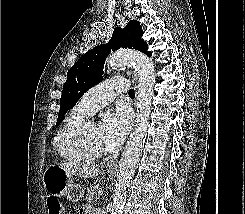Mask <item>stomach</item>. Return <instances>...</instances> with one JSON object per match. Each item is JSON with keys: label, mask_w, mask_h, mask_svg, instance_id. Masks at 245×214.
Here are the masks:
<instances>
[{"label": "stomach", "mask_w": 245, "mask_h": 214, "mask_svg": "<svg viewBox=\"0 0 245 214\" xmlns=\"http://www.w3.org/2000/svg\"><path fill=\"white\" fill-rule=\"evenodd\" d=\"M43 184L52 195L66 196L71 201H79L84 194V188L74 183L72 174L56 165H50L45 170Z\"/></svg>", "instance_id": "obj_1"}]
</instances>
